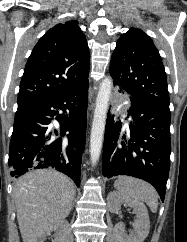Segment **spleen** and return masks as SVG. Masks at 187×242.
<instances>
[{
	"label": "spleen",
	"mask_w": 187,
	"mask_h": 242,
	"mask_svg": "<svg viewBox=\"0 0 187 242\" xmlns=\"http://www.w3.org/2000/svg\"><path fill=\"white\" fill-rule=\"evenodd\" d=\"M114 187L130 199L144 201L153 213L157 212L158 194L149 183L129 176H120Z\"/></svg>",
	"instance_id": "spleen-1"
}]
</instances>
